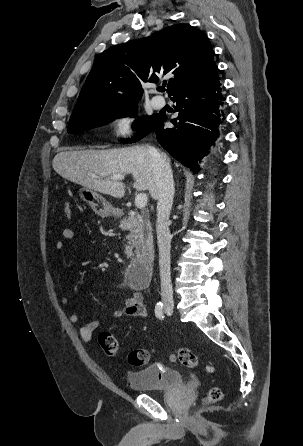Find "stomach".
<instances>
[{
  "mask_svg": "<svg viewBox=\"0 0 303 446\" xmlns=\"http://www.w3.org/2000/svg\"><path fill=\"white\" fill-rule=\"evenodd\" d=\"M79 196L97 215L107 217L115 214L111 204L96 191L83 187L79 190Z\"/></svg>",
  "mask_w": 303,
  "mask_h": 446,
  "instance_id": "obj_1",
  "label": "stomach"
}]
</instances>
